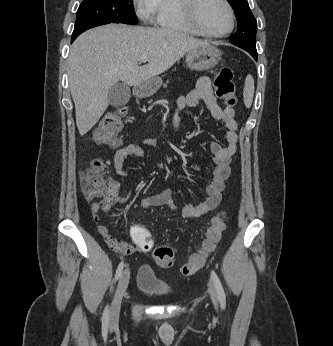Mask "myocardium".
Here are the masks:
<instances>
[{
	"instance_id": "1",
	"label": "myocardium",
	"mask_w": 333,
	"mask_h": 346,
	"mask_svg": "<svg viewBox=\"0 0 333 346\" xmlns=\"http://www.w3.org/2000/svg\"><path fill=\"white\" fill-rule=\"evenodd\" d=\"M202 0H180L182 12L189 25L200 35L210 38H224L232 33L235 27V13L228 0H221L225 5L230 23L228 28L222 33H211L204 29L198 18V7Z\"/></svg>"
}]
</instances>
